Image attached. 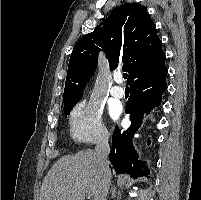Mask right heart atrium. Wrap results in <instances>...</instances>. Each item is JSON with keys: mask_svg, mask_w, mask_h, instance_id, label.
I'll return each mask as SVG.
<instances>
[{"mask_svg": "<svg viewBox=\"0 0 201 200\" xmlns=\"http://www.w3.org/2000/svg\"><path fill=\"white\" fill-rule=\"evenodd\" d=\"M69 124L70 135L75 141L102 143L108 139L101 108L93 102L83 101L76 105L70 114Z\"/></svg>", "mask_w": 201, "mask_h": 200, "instance_id": "right-heart-atrium-1", "label": "right heart atrium"}]
</instances>
